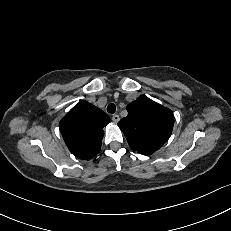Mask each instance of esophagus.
Returning <instances> with one entry per match:
<instances>
[{
  "mask_svg": "<svg viewBox=\"0 0 231 231\" xmlns=\"http://www.w3.org/2000/svg\"><path fill=\"white\" fill-rule=\"evenodd\" d=\"M120 120V117H119V115L118 114H114V115H112V121H114V122H118Z\"/></svg>",
  "mask_w": 231,
  "mask_h": 231,
  "instance_id": "esophagus-1",
  "label": "esophagus"
}]
</instances>
